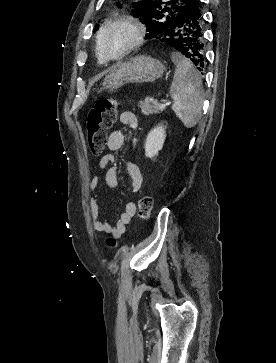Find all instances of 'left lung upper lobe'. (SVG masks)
<instances>
[{
  "instance_id": "5c2ea615",
  "label": "left lung upper lobe",
  "mask_w": 276,
  "mask_h": 363,
  "mask_svg": "<svg viewBox=\"0 0 276 363\" xmlns=\"http://www.w3.org/2000/svg\"><path fill=\"white\" fill-rule=\"evenodd\" d=\"M189 0H143L134 3L135 9L132 13L146 24L148 38H155L158 34L167 29V25L172 21L178 11Z\"/></svg>"
}]
</instances>
